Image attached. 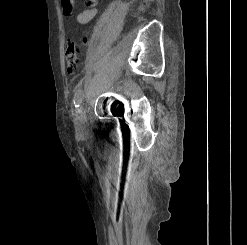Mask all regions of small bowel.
<instances>
[{
	"label": "small bowel",
	"instance_id": "c3829d8e",
	"mask_svg": "<svg viewBox=\"0 0 247 245\" xmlns=\"http://www.w3.org/2000/svg\"><path fill=\"white\" fill-rule=\"evenodd\" d=\"M99 0H86L87 8L76 14V21L79 24L90 22L97 15V5ZM73 0H61L64 14L69 16L73 10Z\"/></svg>",
	"mask_w": 247,
	"mask_h": 245
}]
</instances>
